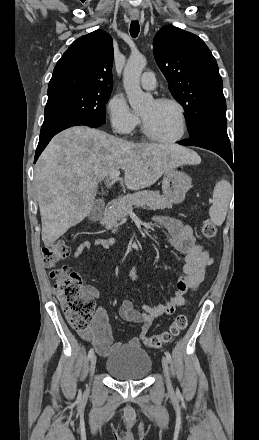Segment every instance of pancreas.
I'll return each instance as SVG.
<instances>
[{
    "instance_id": "obj_1",
    "label": "pancreas",
    "mask_w": 259,
    "mask_h": 440,
    "mask_svg": "<svg viewBox=\"0 0 259 440\" xmlns=\"http://www.w3.org/2000/svg\"><path fill=\"white\" fill-rule=\"evenodd\" d=\"M133 207H143L149 210L172 208V201L165 198L159 192L144 190L128 194L120 198L114 209L108 210L102 224L115 233L119 227L118 221L125 218Z\"/></svg>"
}]
</instances>
